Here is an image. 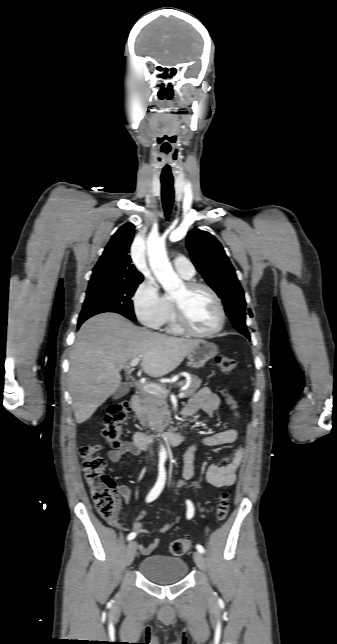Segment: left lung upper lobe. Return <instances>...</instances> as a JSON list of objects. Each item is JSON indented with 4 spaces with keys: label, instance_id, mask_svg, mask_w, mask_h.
<instances>
[{
    "label": "left lung upper lobe",
    "instance_id": "obj_1",
    "mask_svg": "<svg viewBox=\"0 0 337 644\" xmlns=\"http://www.w3.org/2000/svg\"><path fill=\"white\" fill-rule=\"evenodd\" d=\"M186 245L193 264L222 299L235 329L250 339L245 323L244 291L220 242L210 233L194 229L188 232ZM248 314L252 316L250 310Z\"/></svg>",
    "mask_w": 337,
    "mask_h": 644
}]
</instances>
